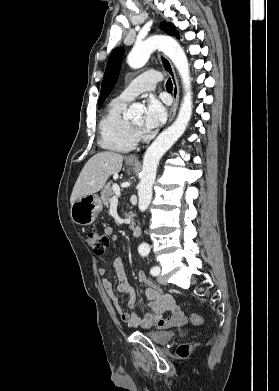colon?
<instances>
[{"mask_svg":"<svg viewBox=\"0 0 279 391\" xmlns=\"http://www.w3.org/2000/svg\"><path fill=\"white\" fill-rule=\"evenodd\" d=\"M86 242L91 247L93 252L97 255H104L110 245L108 236L105 233L97 232V231H91L86 234ZM190 321L195 324H202L203 323V317L198 314H192L190 315ZM191 352V346L189 344H183L181 345L177 353L180 357H186Z\"/></svg>","mask_w":279,"mask_h":391,"instance_id":"obj_1","label":"colon"}]
</instances>
